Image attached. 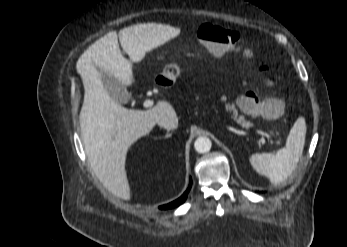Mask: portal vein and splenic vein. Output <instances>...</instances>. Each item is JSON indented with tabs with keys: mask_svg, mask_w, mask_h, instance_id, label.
Instances as JSON below:
<instances>
[{
	"mask_svg": "<svg viewBox=\"0 0 347 247\" xmlns=\"http://www.w3.org/2000/svg\"><path fill=\"white\" fill-rule=\"evenodd\" d=\"M154 105V102L152 100H145L144 103H143V106L144 107H151ZM260 144L264 145L265 144V140L262 138L260 139Z\"/></svg>",
	"mask_w": 347,
	"mask_h": 247,
	"instance_id": "18ae733b",
	"label": "portal vein and splenic vein"
}]
</instances>
